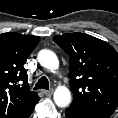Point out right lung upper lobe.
Segmentation results:
<instances>
[{
  "mask_svg": "<svg viewBox=\"0 0 118 118\" xmlns=\"http://www.w3.org/2000/svg\"><path fill=\"white\" fill-rule=\"evenodd\" d=\"M39 41L38 36L0 34V118H28L39 101L23 67Z\"/></svg>",
  "mask_w": 118,
  "mask_h": 118,
  "instance_id": "cb5924a9",
  "label": "right lung upper lobe"
}]
</instances>
